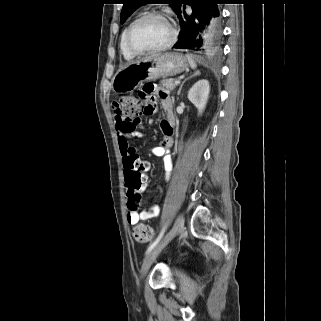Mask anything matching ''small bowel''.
I'll use <instances>...</instances> for the list:
<instances>
[{
    "instance_id": "small-bowel-1",
    "label": "small bowel",
    "mask_w": 321,
    "mask_h": 321,
    "mask_svg": "<svg viewBox=\"0 0 321 321\" xmlns=\"http://www.w3.org/2000/svg\"><path fill=\"white\" fill-rule=\"evenodd\" d=\"M136 96H147L148 102H156L157 97L160 98L162 107L165 111V118L161 121V131L164 135L163 142L153 148L152 153L155 156L162 157L166 178L172 170V158L169 152L173 143V135L175 132V116L173 112V103L166 90L159 89L155 82H142L135 91ZM152 110L154 104H151ZM115 112V127L117 132V141L120 153L122 155L123 164L133 157H139L137 150L130 145V140L139 139L142 137L140 132L141 122L136 119H125L117 112V104H113ZM160 213V206L154 203L149 209L136 211L128 208L127 222L130 225H135L140 221H148L157 217Z\"/></svg>"
}]
</instances>
